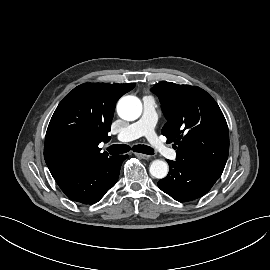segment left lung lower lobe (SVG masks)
I'll return each mask as SVG.
<instances>
[{"mask_svg": "<svg viewBox=\"0 0 270 270\" xmlns=\"http://www.w3.org/2000/svg\"><path fill=\"white\" fill-rule=\"evenodd\" d=\"M167 162L169 173L158 182V186L173 199L181 202L192 201L206 194L223 172L180 159Z\"/></svg>", "mask_w": 270, "mask_h": 270, "instance_id": "1", "label": "left lung lower lobe"}]
</instances>
